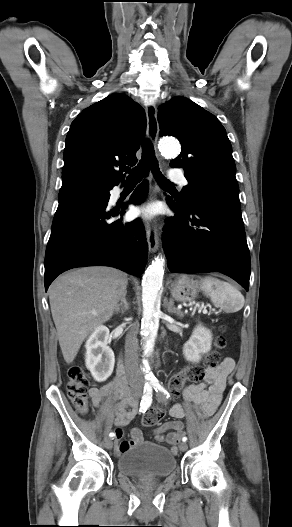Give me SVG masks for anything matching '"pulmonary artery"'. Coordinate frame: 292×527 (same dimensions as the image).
<instances>
[{
	"mask_svg": "<svg viewBox=\"0 0 292 527\" xmlns=\"http://www.w3.org/2000/svg\"><path fill=\"white\" fill-rule=\"evenodd\" d=\"M169 178L173 181L181 183L182 185H186L188 183L183 173L178 169H171L169 171Z\"/></svg>",
	"mask_w": 292,
	"mask_h": 527,
	"instance_id": "obj_1",
	"label": "pulmonary artery"
}]
</instances>
